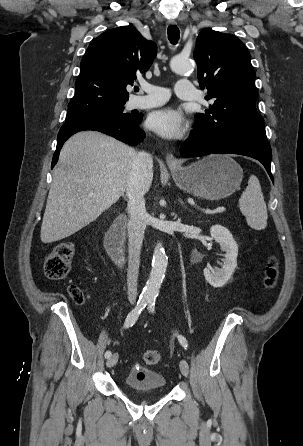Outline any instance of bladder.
I'll list each match as a JSON object with an SVG mask.
<instances>
[{"instance_id": "obj_1", "label": "bladder", "mask_w": 303, "mask_h": 446, "mask_svg": "<svg viewBox=\"0 0 303 446\" xmlns=\"http://www.w3.org/2000/svg\"><path fill=\"white\" fill-rule=\"evenodd\" d=\"M124 383L133 391H162L167 385L163 374L142 366L131 368Z\"/></svg>"}]
</instances>
